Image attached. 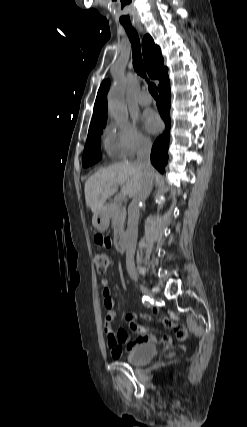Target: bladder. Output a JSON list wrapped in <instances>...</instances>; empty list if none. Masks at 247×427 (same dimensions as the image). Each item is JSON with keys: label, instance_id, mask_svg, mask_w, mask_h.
<instances>
[{"label": "bladder", "instance_id": "bladder-1", "mask_svg": "<svg viewBox=\"0 0 247 427\" xmlns=\"http://www.w3.org/2000/svg\"><path fill=\"white\" fill-rule=\"evenodd\" d=\"M157 353V347L153 343H142L136 345L128 352L125 359L132 365H144L150 362Z\"/></svg>", "mask_w": 247, "mask_h": 427}]
</instances>
